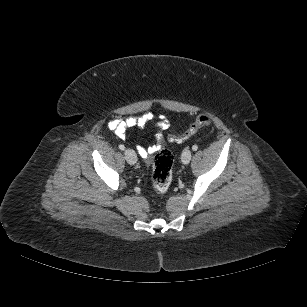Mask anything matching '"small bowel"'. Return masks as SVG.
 <instances>
[{
    "mask_svg": "<svg viewBox=\"0 0 307 307\" xmlns=\"http://www.w3.org/2000/svg\"><path fill=\"white\" fill-rule=\"evenodd\" d=\"M153 119V115L150 112L143 114L142 116H131L126 119L116 118L108 123V127L113 131L119 138L124 139L126 137L127 131L133 127L144 128ZM155 126L159 130H165L169 127L168 120L161 116V119L155 123ZM163 144V138L160 133L156 135V141L154 145L150 147L138 146L137 151L139 155L145 159L149 158L151 154L156 152L161 148Z\"/></svg>",
    "mask_w": 307,
    "mask_h": 307,
    "instance_id": "obj_1",
    "label": "small bowel"
}]
</instances>
